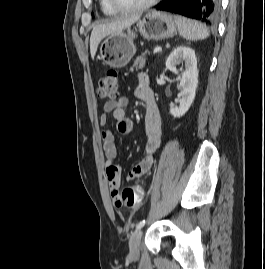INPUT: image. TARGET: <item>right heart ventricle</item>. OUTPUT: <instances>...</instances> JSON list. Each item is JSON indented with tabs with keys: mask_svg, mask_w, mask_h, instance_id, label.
Listing matches in <instances>:
<instances>
[{
	"mask_svg": "<svg viewBox=\"0 0 265 269\" xmlns=\"http://www.w3.org/2000/svg\"><path fill=\"white\" fill-rule=\"evenodd\" d=\"M99 3L102 12L106 15H117L119 13L113 9L109 0H99Z\"/></svg>",
	"mask_w": 265,
	"mask_h": 269,
	"instance_id": "e07e8e85",
	"label": "right heart ventricle"
}]
</instances>
